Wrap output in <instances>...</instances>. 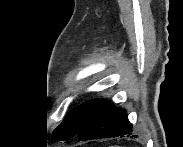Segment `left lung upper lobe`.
Instances as JSON below:
<instances>
[{"label":"left lung upper lobe","instance_id":"left-lung-upper-lobe-1","mask_svg":"<svg viewBox=\"0 0 183 147\" xmlns=\"http://www.w3.org/2000/svg\"><path fill=\"white\" fill-rule=\"evenodd\" d=\"M96 103L97 101H89L72 111L54 130L52 139L54 141L69 140L76 135Z\"/></svg>","mask_w":183,"mask_h":147}]
</instances>
